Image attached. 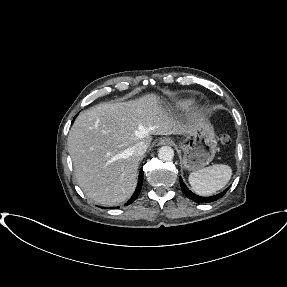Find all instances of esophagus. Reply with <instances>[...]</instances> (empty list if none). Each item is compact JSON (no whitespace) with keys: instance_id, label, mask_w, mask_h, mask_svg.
I'll return each mask as SVG.
<instances>
[{"instance_id":"esophagus-1","label":"esophagus","mask_w":287,"mask_h":287,"mask_svg":"<svg viewBox=\"0 0 287 287\" xmlns=\"http://www.w3.org/2000/svg\"><path fill=\"white\" fill-rule=\"evenodd\" d=\"M173 144V140L171 138H161L158 141V145H172Z\"/></svg>"}]
</instances>
